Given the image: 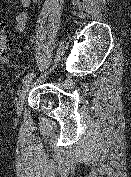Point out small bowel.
<instances>
[{"label":"small bowel","instance_id":"c3829d8e","mask_svg":"<svg viewBox=\"0 0 131 177\" xmlns=\"http://www.w3.org/2000/svg\"><path fill=\"white\" fill-rule=\"evenodd\" d=\"M32 0H19L20 5L23 8H28ZM28 19V14L26 12H21L16 16V30L22 32L25 29Z\"/></svg>","mask_w":131,"mask_h":177}]
</instances>
